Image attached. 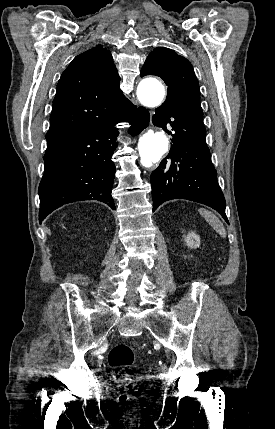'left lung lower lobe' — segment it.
Listing matches in <instances>:
<instances>
[{"label":"left lung lower lobe","mask_w":275,"mask_h":429,"mask_svg":"<svg viewBox=\"0 0 275 429\" xmlns=\"http://www.w3.org/2000/svg\"><path fill=\"white\" fill-rule=\"evenodd\" d=\"M152 121L173 137L169 154L150 176L153 211L165 201L187 199L216 209L229 224L203 120L162 104Z\"/></svg>","instance_id":"obj_1"}]
</instances>
